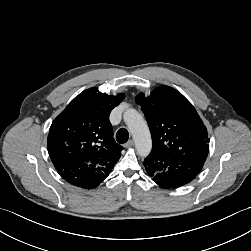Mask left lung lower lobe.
<instances>
[{
	"instance_id": "obj_1",
	"label": "left lung lower lobe",
	"mask_w": 251,
	"mask_h": 251,
	"mask_svg": "<svg viewBox=\"0 0 251 251\" xmlns=\"http://www.w3.org/2000/svg\"><path fill=\"white\" fill-rule=\"evenodd\" d=\"M144 166L152 180L165 189L177 188L192 181L203 167V163L189 158L151 152Z\"/></svg>"
}]
</instances>
